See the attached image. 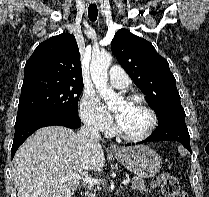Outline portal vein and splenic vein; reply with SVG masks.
Returning a JSON list of instances; mask_svg holds the SVG:
<instances>
[{
  "instance_id": "18ae733b",
  "label": "portal vein and splenic vein",
  "mask_w": 209,
  "mask_h": 197,
  "mask_svg": "<svg viewBox=\"0 0 209 197\" xmlns=\"http://www.w3.org/2000/svg\"><path fill=\"white\" fill-rule=\"evenodd\" d=\"M67 177L70 179H74V180H83L86 183H90V184H98L99 180L95 179V178H90V177H83L80 174L74 173V172H69L67 174ZM130 183V180H123V184L127 185Z\"/></svg>"
}]
</instances>
